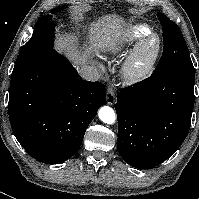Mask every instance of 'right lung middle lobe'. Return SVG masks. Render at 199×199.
<instances>
[{"instance_id":"obj_1","label":"right lung middle lobe","mask_w":199,"mask_h":199,"mask_svg":"<svg viewBox=\"0 0 199 199\" xmlns=\"http://www.w3.org/2000/svg\"><path fill=\"white\" fill-rule=\"evenodd\" d=\"M60 6L51 11V15L41 16L37 21L31 39L23 46L12 72V76L27 68L31 63L43 57L53 47L54 23L52 15L61 11Z\"/></svg>"}]
</instances>
